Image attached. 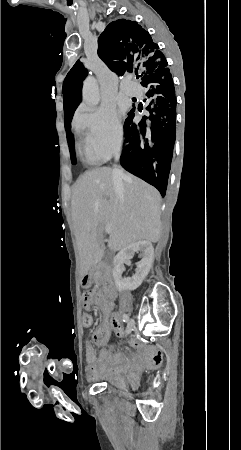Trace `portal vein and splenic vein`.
Wrapping results in <instances>:
<instances>
[{"instance_id":"18ae733b","label":"portal vein and splenic vein","mask_w":241,"mask_h":450,"mask_svg":"<svg viewBox=\"0 0 241 450\" xmlns=\"http://www.w3.org/2000/svg\"><path fill=\"white\" fill-rule=\"evenodd\" d=\"M105 232H107V234H111L112 230H111L110 226H106Z\"/></svg>"}]
</instances>
